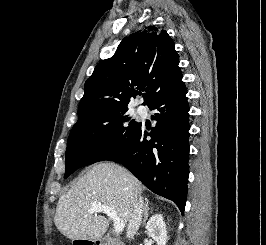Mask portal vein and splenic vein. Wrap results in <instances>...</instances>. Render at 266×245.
<instances>
[{
  "mask_svg": "<svg viewBox=\"0 0 266 245\" xmlns=\"http://www.w3.org/2000/svg\"><path fill=\"white\" fill-rule=\"evenodd\" d=\"M91 213H105L109 219L114 221V231L115 233H122L125 225L122 219H119L116 215V211L112 209V207H108V205H102V203H93L90 207Z\"/></svg>",
  "mask_w": 266,
  "mask_h": 245,
  "instance_id": "18ae733b",
  "label": "portal vein and splenic vein"
}]
</instances>
